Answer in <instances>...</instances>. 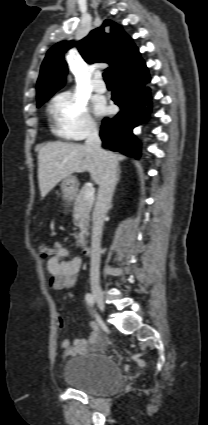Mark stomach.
Here are the masks:
<instances>
[{"label":"stomach","mask_w":208,"mask_h":425,"mask_svg":"<svg viewBox=\"0 0 208 425\" xmlns=\"http://www.w3.org/2000/svg\"><path fill=\"white\" fill-rule=\"evenodd\" d=\"M61 189L65 200L72 201L78 190V180L75 176H68L62 180Z\"/></svg>","instance_id":"1"}]
</instances>
